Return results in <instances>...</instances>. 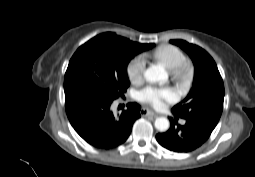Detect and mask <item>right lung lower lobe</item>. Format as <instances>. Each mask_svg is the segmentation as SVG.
I'll list each match as a JSON object with an SVG mask.
<instances>
[{"mask_svg": "<svg viewBox=\"0 0 255 177\" xmlns=\"http://www.w3.org/2000/svg\"><path fill=\"white\" fill-rule=\"evenodd\" d=\"M114 100L94 90L65 91V108L71 125L94 147L111 149L124 143L133 123L143 113L137 103H129L127 110L114 115L111 111Z\"/></svg>", "mask_w": 255, "mask_h": 177, "instance_id": "obj_1", "label": "right lung lower lobe"}]
</instances>
